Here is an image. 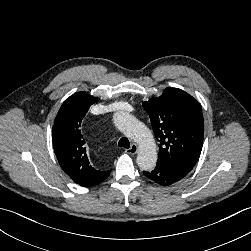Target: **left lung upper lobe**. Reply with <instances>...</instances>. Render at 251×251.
I'll list each match as a JSON object with an SVG mask.
<instances>
[{"instance_id": "obj_1", "label": "left lung upper lobe", "mask_w": 251, "mask_h": 251, "mask_svg": "<svg viewBox=\"0 0 251 251\" xmlns=\"http://www.w3.org/2000/svg\"><path fill=\"white\" fill-rule=\"evenodd\" d=\"M159 142L157 163L190 172L199 159L204 135L200 104L178 88L168 87L160 97L143 102Z\"/></svg>"}]
</instances>
